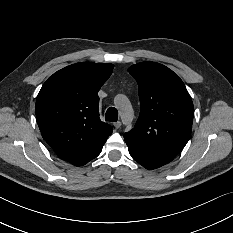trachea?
Here are the masks:
<instances>
[{
  "label": "trachea",
  "instance_id": "obj_1",
  "mask_svg": "<svg viewBox=\"0 0 233 233\" xmlns=\"http://www.w3.org/2000/svg\"><path fill=\"white\" fill-rule=\"evenodd\" d=\"M105 120L116 122L118 120V111L114 107L108 108L105 114Z\"/></svg>",
  "mask_w": 233,
  "mask_h": 233
}]
</instances>
